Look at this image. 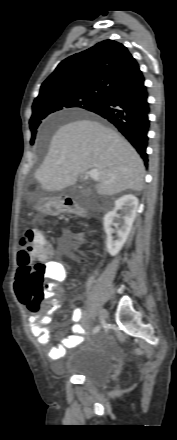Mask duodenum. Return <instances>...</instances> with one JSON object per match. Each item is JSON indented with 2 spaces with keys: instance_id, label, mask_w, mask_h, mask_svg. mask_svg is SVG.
I'll list each match as a JSON object with an SVG mask.
<instances>
[{
  "instance_id": "410a0bca",
  "label": "duodenum",
  "mask_w": 177,
  "mask_h": 440,
  "mask_svg": "<svg viewBox=\"0 0 177 440\" xmlns=\"http://www.w3.org/2000/svg\"><path fill=\"white\" fill-rule=\"evenodd\" d=\"M57 210L60 212L75 213L80 216L85 215L84 210L75 201L68 198L60 200Z\"/></svg>"
}]
</instances>
